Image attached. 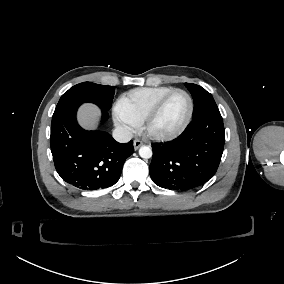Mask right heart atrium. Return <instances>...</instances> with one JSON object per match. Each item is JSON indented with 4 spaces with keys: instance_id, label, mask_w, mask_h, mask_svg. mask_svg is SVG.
<instances>
[{
    "instance_id": "obj_1",
    "label": "right heart atrium",
    "mask_w": 284,
    "mask_h": 284,
    "mask_svg": "<svg viewBox=\"0 0 284 284\" xmlns=\"http://www.w3.org/2000/svg\"><path fill=\"white\" fill-rule=\"evenodd\" d=\"M118 124H119V130L124 134L131 136L133 135L137 130V124L132 121L131 119L120 115L119 113H115Z\"/></svg>"
}]
</instances>
